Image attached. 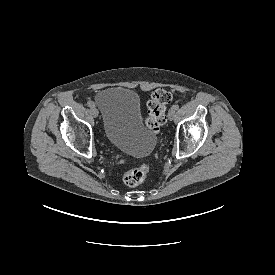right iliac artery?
Segmentation results:
<instances>
[{"mask_svg": "<svg viewBox=\"0 0 275 275\" xmlns=\"http://www.w3.org/2000/svg\"><path fill=\"white\" fill-rule=\"evenodd\" d=\"M87 105H88L90 108H92V107L95 106L94 102H92V101H88V102H87Z\"/></svg>", "mask_w": 275, "mask_h": 275, "instance_id": "1", "label": "right iliac artery"}]
</instances>
